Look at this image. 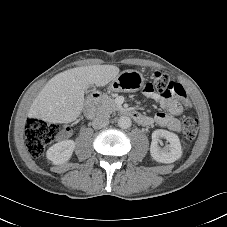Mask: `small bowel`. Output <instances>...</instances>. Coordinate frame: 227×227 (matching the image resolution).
I'll return each mask as SVG.
<instances>
[{
	"label": "small bowel",
	"mask_w": 227,
	"mask_h": 227,
	"mask_svg": "<svg viewBox=\"0 0 227 227\" xmlns=\"http://www.w3.org/2000/svg\"><path fill=\"white\" fill-rule=\"evenodd\" d=\"M141 91L147 97L156 100L160 107L166 112H159L155 116H145L146 120L143 123L145 126L157 124L161 127L167 128L173 132H179L181 124L178 117L183 112V107L171 91H166L163 95L155 94V88L150 82H145L141 86Z\"/></svg>",
	"instance_id": "small-bowel-1"
}]
</instances>
